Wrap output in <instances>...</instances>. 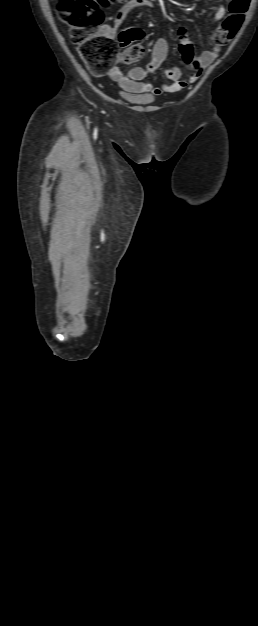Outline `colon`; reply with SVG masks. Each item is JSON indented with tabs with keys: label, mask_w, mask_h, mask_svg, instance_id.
I'll return each instance as SVG.
<instances>
[{
	"label": "colon",
	"mask_w": 258,
	"mask_h": 626,
	"mask_svg": "<svg viewBox=\"0 0 258 626\" xmlns=\"http://www.w3.org/2000/svg\"><path fill=\"white\" fill-rule=\"evenodd\" d=\"M124 0H57V13L70 30V37L78 45V51L90 69L97 74L105 72L118 54V45L109 42L99 29L104 21L103 8ZM250 0H230L229 14L219 26L214 42L224 45L240 29ZM142 30L132 28L120 33V46L125 48L123 59L136 62L144 54V48L134 40L140 38ZM195 76L191 77L194 80Z\"/></svg>",
	"instance_id": "5ec220e1"
}]
</instances>
